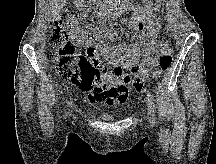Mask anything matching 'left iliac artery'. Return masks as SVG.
<instances>
[{
    "mask_svg": "<svg viewBox=\"0 0 216 164\" xmlns=\"http://www.w3.org/2000/svg\"><path fill=\"white\" fill-rule=\"evenodd\" d=\"M147 96H148L149 114L152 118V125H154L155 124V109H156V105L154 102V96L150 92H148Z\"/></svg>",
    "mask_w": 216,
    "mask_h": 164,
    "instance_id": "1",
    "label": "left iliac artery"
}]
</instances>
